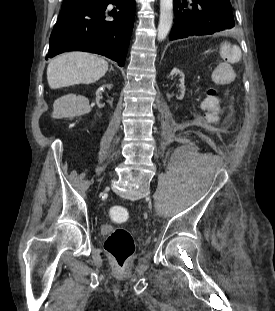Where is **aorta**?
I'll list each match as a JSON object with an SVG mask.
<instances>
[{
    "mask_svg": "<svg viewBox=\"0 0 275 311\" xmlns=\"http://www.w3.org/2000/svg\"><path fill=\"white\" fill-rule=\"evenodd\" d=\"M173 22V0H160V19L158 25V41H163Z\"/></svg>",
    "mask_w": 275,
    "mask_h": 311,
    "instance_id": "obj_1",
    "label": "aorta"
}]
</instances>
